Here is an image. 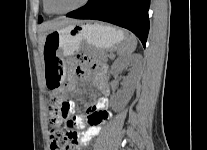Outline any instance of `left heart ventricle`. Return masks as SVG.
Instances as JSON below:
<instances>
[{
  "instance_id": "obj_1",
  "label": "left heart ventricle",
  "mask_w": 207,
  "mask_h": 150,
  "mask_svg": "<svg viewBox=\"0 0 207 150\" xmlns=\"http://www.w3.org/2000/svg\"><path fill=\"white\" fill-rule=\"evenodd\" d=\"M82 0H50L51 6L57 11L68 10L78 5Z\"/></svg>"
}]
</instances>
